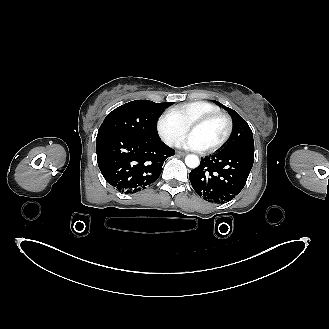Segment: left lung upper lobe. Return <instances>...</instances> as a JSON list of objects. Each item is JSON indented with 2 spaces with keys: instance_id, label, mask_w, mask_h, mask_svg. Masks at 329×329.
<instances>
[{
  "instance_id": "5c2ea615",
  "label": "left lung upper lobe",
  "mask_w": 329,
  "mask_h": 329,
  "mask_svg": "<svg viewBox=\"0 0 329 329\" xmlns=\"http://www.w3.org/2000/svg\"><path fill=\"white\" fill-rule=\"evenodd\" d=\"M228 111L233 121V130L229 142L221 150L222 152L233 150L254 151V140L248 123L234 110L216 102Z\"/></svg>"
}]
</instances>
